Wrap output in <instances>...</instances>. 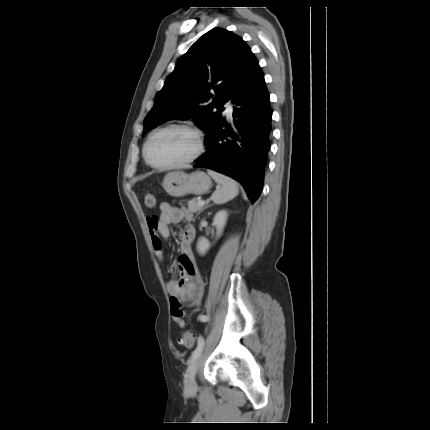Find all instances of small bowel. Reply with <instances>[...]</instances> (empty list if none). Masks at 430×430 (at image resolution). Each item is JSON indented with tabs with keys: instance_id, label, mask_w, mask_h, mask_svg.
<instances>
[{
	"instance_id": "1",
	"label": "small bowel",
	"mask_w": 430,
	"mask_h": 430,
	"mask_svg": "<svg viewBox=\"0 0 430 430\" xmlns=\"http://www.w3.org/2000/svg\"><path fill=\"white\" fill-rule=\"evenodd\" d=\"M192 214L186 208L174 207L168 203L160 205V215L148 218L147 224L153 250L158 259L163 260V245L161 238L170 234V225L181 221H191ZM195 238V229L185 226L180 232V255L173 263L172 270L178 272L177 280H169L167 289L171 295V314L173 322L179 329L186 327L182 306L198 307L204 294V280L197 266L191 244ZM197 308L193 311L196 312Z\"/></svg>"
}]
</instances>
